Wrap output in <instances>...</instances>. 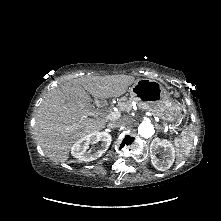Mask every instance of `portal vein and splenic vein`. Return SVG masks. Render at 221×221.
Instances as JSON below:
<instances>
[{
    "label": "portal vein and splenic vein",
    "mask_w": 221,
    "mask_h": 221,
    "mask_svg": "<svg viewBox=\"0 0 221 221\" xmlns=\"http://www.w3.org/2000/svg\"><path fill=\"white\" fill-rule=\"evenodd\" d=\"M120 116H121V113H120V112L114 111V112L109 113V114L105 117V119H107V120H116V119H118ZM167 131H168V127L165 126V132H167Z\"/></svg>",
    "instance_id": "obj_1"
}]
</instances>
